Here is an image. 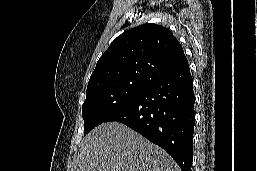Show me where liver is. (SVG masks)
Listing matches in <instances>:
<instances>
[{"mask_svg": "<svg viewBox=\"0 0 257 171\" xmlns=\"http://www.w3.org/2000/svg\"><path fill=\"white\" fill-rule=\"evenodd\" d=\"M72 171H181L160 147L119 122L102 123L82 141Z\"/></svg>", "mask_w": 257, "mask_h": 171, "instance_id": "1", "label": "liver"}]
</instances>
